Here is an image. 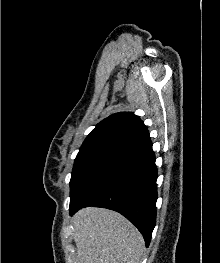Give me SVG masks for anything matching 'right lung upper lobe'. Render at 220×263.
I'll list each match as a JSON object with an SVG mask.
<instances>
[{
    "mask_svg": "<svg viewBox=\"0 0 220 263\" xmlns=\"http://www.w3.org/2000/svg\"><path fill=\"white\" fill-rule=\"evenodd\" d=\"M149 138L146 126L138 116L121 112L101 121L87 136L80 151L112 150L119 153Z\"/></svg>",
    "mask_w": 220,
    "mask_h": 263,
    "instance_id": "1",
    "label": "right lung upper lobe"
}]
</instances>
